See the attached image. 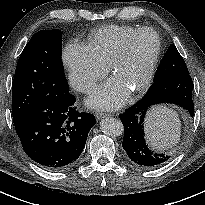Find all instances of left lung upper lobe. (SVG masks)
Returning <instances> with one entry per match:
<instances>
[{
  "label": "left lung upper lobe",
  "mask_w": 205,
  "mask_h": 205,
  "mask_svg": "<svg viewBox=\"0 0 205 205\" xmlns=\"http://www.w3.org/2000/svg\"><path fill=\"white\" fill-rule=\"evenodd\" d=\"M189 74L186 63L177 51L174 44L170 45L162 62L157 70L154 82L174 77L177 75Z\"/></svg>",
  "instance_id": "obj_1"
}]
</instances>
